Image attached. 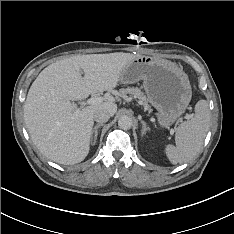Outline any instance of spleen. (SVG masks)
Returning a JSON list of instances; mask_svg holds the SVG:
<instances>
[{"mask_svg": "<svg viewBox=\"0 0 234 234\" xmlns=\"http://www.w3.org/2000/svg\"><path fill=\"white\" fill-rule=\"evenodd\" d=\"M210 124V111L206 100L195 105V115L190 121L181 123L175 134L174 145H167L165 153L172 164L186 163L200 151Z\"/></svg>", "mask_w": 234, "mask_h": 234, "instance_id": "3e777b00", "label": "spleen"}]
</instances>
